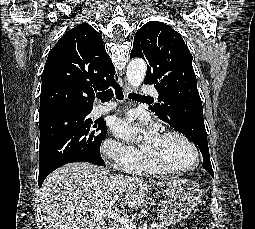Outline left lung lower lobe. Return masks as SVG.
Segmentation results:
<instances>
[{
	"label": "left lung lower lobe",
	"instance_id": "0a47b994",
	"mask_svg": "<svg viewBox=\"0 0 255 229\" xmlns=\"http://www.w3.org/2000/svg\"><path fill=\"white\" fill-rule=\"evenodd\" d=\"M177 118L180 119L181 121H189L190 118H193L192 126L193 129L196 131H199L201 133H205V125L203 121V107L202 105H192L187 109L182 114H178ZM203 168L211 174V176L214 178V172L211 166L210 162V156L209 155H204L203 156Z\"/></svg>",
	"mask_w": 255,
	"mask_h": 229
}]
</instances>
